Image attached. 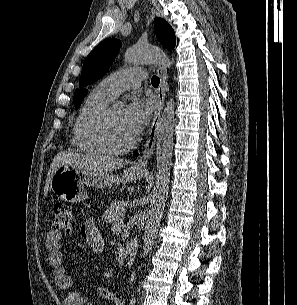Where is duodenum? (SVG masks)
Returning a JSON list of instances; mask_svg holds the SVG:
<instances>
[{
    "mask_svg": "<svg viewBox=\"0 0 297 305\" xmlns=\"http://www.w3.org/2000/svg\"><path fill=\"white\" fill-rule=\"evenodd\" d=\"M127 260L126 267L130 268L135 261L136 253H137V243L135 241H131L127 246Z\"/></svg>",
    "mask_w": 297,
    "mask_h": 305,
    "instance_id": "obj_1",
    "label": "duodenum"
}]
</instances>
